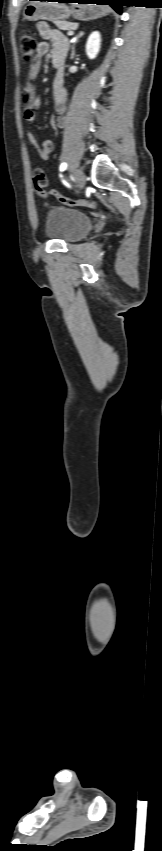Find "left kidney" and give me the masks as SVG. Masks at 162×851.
Wrapping results in <instances>:
<instances>
[{
    "instance_id": "1",
    "label": "left kidney",
    "mask_w": 162,
    "mask_h": 851,
    "mask_svg": "<svg viewBox=\"0 0 162 851\" xmlns=\"http://www.w3.org/2000/svg\"><path fill=\"white\" fill-rule=\"evenodd\" d=\"M101 36L98 31L92 32L86 42V54L89 59H95L100 51Z\"/></svg>"
}]
</instances>
